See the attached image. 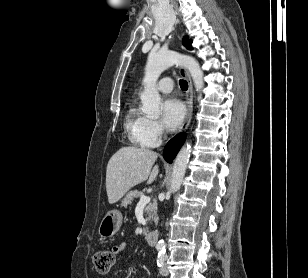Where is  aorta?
<instances>
[{
  "instance_id": "1",
  "label": "aorta",
  "mask_w": 308,
  "mask_h": 278,
  "mask_svg": "<svg viewBox=\"0 0 308 278\" xmlns=\"http://www.w3.org/2000/svg\"><path fill=\"white\" fill-rule=\"evenodd\" d=\"M174 64L183 65L188 69L197 92H200L204 86L203 71L193 57L174 51L151 53L145 67L144 91L141 93L142 110L150 118H157L160 114L161 98L156 89V82L161 73ZM190 153L191 144L187 143L182 147L175 159L170 185V190L173 193L177 192L181 187ZM165 246L164 240H160L157 244V247L161 250H164Z\"/></svg>"
}]
</instances>
